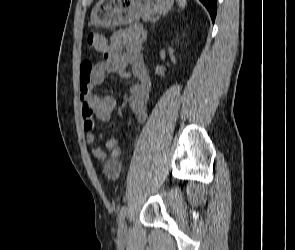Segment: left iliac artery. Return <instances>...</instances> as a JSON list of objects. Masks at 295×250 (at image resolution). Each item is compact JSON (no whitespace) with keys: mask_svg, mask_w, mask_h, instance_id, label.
I'll return each instance as SVG.
<instances>
[{"mask_svg":"<svg viewBox=\"0 0 295 250\" xmlns=\"http://www.w3.org/2000/svg\"><path fill=\"white\" fill-rule=\"evenodd\" d=\"M126 206H122L121 210H120V213H119V216H118V223L120 224L124 218H125V214H126Z\"/></svg>","mask_w":295,"mask_h":250,"instance_id":"obj_1","label":"left iliac artery"}]
</instances>
